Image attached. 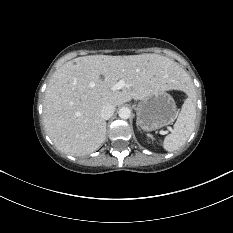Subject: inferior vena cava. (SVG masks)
Listing matches in <instances>:
<instances>
[{
  "label": "inferior vena cava",
  "mask_w": 233,
  "mask_h": 233,
  "mask_svg": "<svg viewBox=\"0 0 233 233\" xmlns=\"http://www.w3.org/2000/svg\"><path fill=\"white\" fill-rule=\"evenodd\" d=\"M115 112V106L112 104L103 105L100 109V116L104 120H108Z\"/></svg>",
  "instance_id": "obj_1"
}]
</instances>
